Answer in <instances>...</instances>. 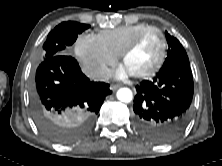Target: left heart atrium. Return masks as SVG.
<instances>
[{"mask_svg":"<svg viewBox=\"0 0 222 166\" xmlns=\"http://www.w3.org/2000/svg\"><path fill=\"white\" fill-rule=\"evenodd\" d=\"M130 74L131 73L123 65L119 66L118 69L116 70V76L120 79L126 78Z\"/></svg>","mask_w":222,"mask_h":166,"instance_id":"left-heart-atrium-1","label":"left heart atrium"}]
</instances>
